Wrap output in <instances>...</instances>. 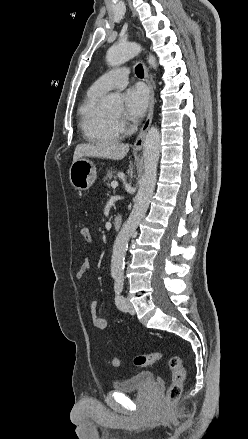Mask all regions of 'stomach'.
Instances as JSON below:
<instances>
[{"label":"stomach","instance_id":"0dacf381","mask_svg":"<svg viewBox=\"0 0 248 439\" xmlns=\"http://www.w3.org/2000/svg\"><path fill=\"white\" fill-rule=\"evenodd\" d=\"M69 179L77 190L89 189L96 179V167L87 158H80L73 162L69 170Z\"/></svg>","mask_w":248,"mask_h":439}]
</instances>
